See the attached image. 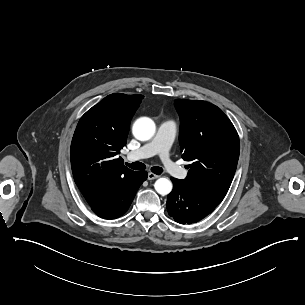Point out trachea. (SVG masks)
<instances>
[{"label": "trachea", "mask_w": 305, "mask_h": 305, "mask_svg": "<svg viewBox=\"0 0 305 305\" xmlns=\"http://www.w3.org/2000/svg\"><path fill=\"white\" fill-rule=\"evenodd\" d=\"M126 165L128 167H130L131 169H134V170H144V169H146L145 164H143L141 162H132L131 164L126 163ZM151 171L156 175H161L164 172V169L159 167V166H154V167L151 168Z\"/></svg>", "instance_id": "trachea-1"}]
</instances>
